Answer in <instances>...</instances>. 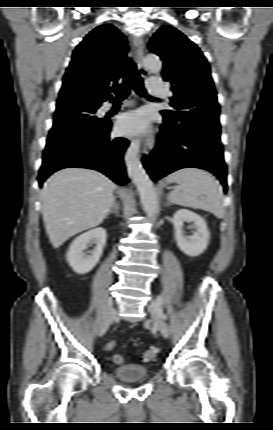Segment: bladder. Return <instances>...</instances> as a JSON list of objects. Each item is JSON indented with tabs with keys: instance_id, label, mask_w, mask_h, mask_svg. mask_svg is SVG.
Wrapping results in <instances>:
<instances>
[{
	"instance_id": "31cf9c89",
	"label": "bladder",
	"mask_w": 273,
	"mask_h": 430,
	"mask_svg": "<svg viewBox=\"0 0 273 430\" xmlns=\"http://www.w3.org/2000/svg\"><path fill=\"white\" fill-rule=\"evenodd\" d=\"M113 376L119 381L131 383L146 379L149 376L148 369L141 364H123L112 370Z\"/></svg>"
}]
</instances>
